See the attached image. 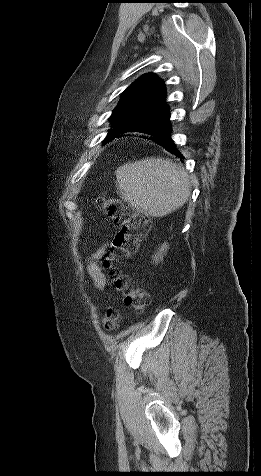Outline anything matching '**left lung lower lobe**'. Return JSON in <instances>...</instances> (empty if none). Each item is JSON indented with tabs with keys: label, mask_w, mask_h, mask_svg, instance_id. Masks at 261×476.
Wrapping results in <instances>:
<instances>
[{
	"label": "left lung lower lobe",
	"mask_w": 261,
	"mask_h": 476,
	"mask_svg": "<svg viewBox=\"0 0 261 476\" xmlns=\"http://www.w3.org/2000/svg\"><path fill=\"white\" fill-rule=\"evenodd\" d=\"M130 131H139L149 134L144 137L152 140L158 145H161L169 153L176 155L179 158L184 159L181 153L178 151L176 145L170 138L171 125L169 121V112L162 114L160 117H154L152 119H146L141 121H133L125 127L117 128L109 131V134L104 139V142L111 140L115 137H119V134Z\"/></svg>",
	"instance_id": "left-lung-lower-lobe-1"
}]
</instances>
